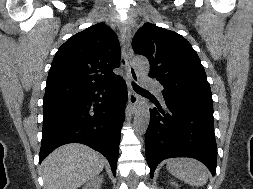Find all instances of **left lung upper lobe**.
Segmentation results:
<instances>
[{
  "label": "left lung upper lobe",
  "mask_w": 253,
  "mask_h": 189,
  "mask_svg": "<svg viewBox=\"0 0 253 189\" xmlns=\"http://www.w3.org/2000/svg\"><path fill=\"white\" fill-rule=\"evenodd\" d=\"M135 53L150 63L149 76L164 86L163 96L213 109L205 70L191 44L174 31L145 23L132 40Z\"/></svg>",
  "instance_id": "1"
}]
</instances>
